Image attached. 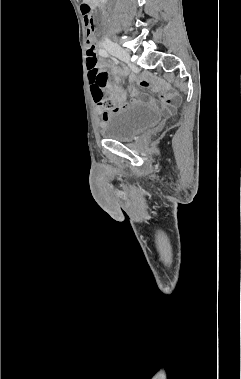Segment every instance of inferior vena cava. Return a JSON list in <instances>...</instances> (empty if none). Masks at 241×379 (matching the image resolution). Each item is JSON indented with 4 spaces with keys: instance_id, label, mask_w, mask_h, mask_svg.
<instances>
[{
    "instance_id": "obj_1",
    "label": "inferior vena cava",
    "mask_w": 241,
    "mask_h": 379,
    "mask_svg": "<svg viewBox=\"0 0 241 379\" xmlns=\"http://www.w3.org/2000/svg\"><path fill=\"white\" fill-rule=\"evenodd\" d=\"M101 2H106V0H101Z\"/></svg>"
}]
</instances>
